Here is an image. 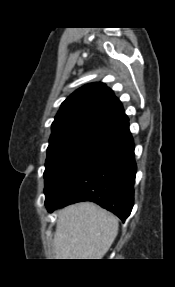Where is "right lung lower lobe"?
Wrapping results in <instances>:
<instances>
[{
  "mask_svg": "<svg viewBox=\"0 0 175 287\" xmlns=\"http://www.w3.org/2000/svg\"><path fill=\"white\" fill-rule=\"evenodd\" d=\"M136 163L129 121L118 125L82 157L46 194L49 212L71 203L93 201L122 221L134 203Z\"/></svg>",
  "mask_w": 175,
  "mask_h": 287,
  "instance_id": "98d812e1",
  "label": "right lung lower lobe"
}]
</instances>
